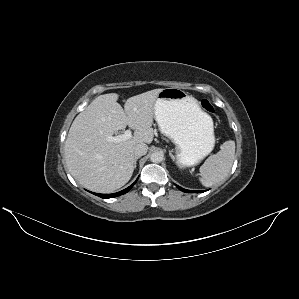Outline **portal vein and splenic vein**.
<instances>
[{"label": "portal vein and splenic vein", "mask_w": 299, "mask_h": 299, "mask_svg": "<svg viewBox=\"0 0 299 299\" xmlns=\"http://www.w3.org/2000/svg\"><path fill=\"white\" fill-rule=\"evenodd\" d=\"M131 137H132L131 130H126L124 132V134H120V135H117V136H109V137L106 138V140L109 141V142H113V143H119V142L128 140Z\"/></svg>", "instance_id": "obj_1"}]
</instances>
